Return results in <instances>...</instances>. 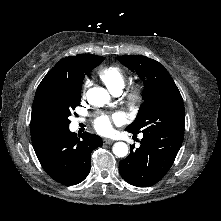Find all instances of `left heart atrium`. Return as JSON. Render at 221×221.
<instances>
[{"instance_id":"obj_1","label":"left heart atrium","mask_w":221,"mask_h":221,"mask_svg":"<svg viewBox=\"0 0 221 221\" xmlns=\"http://www.w3.org/2000/svg\"><path fill=\"white\" fill-rule=\"evenodd\" d=\"M121 115L119 113H97L93 119L94 128L102 134H108L112 130L113 123H119Z\"/></svg>"}]
</instances>
